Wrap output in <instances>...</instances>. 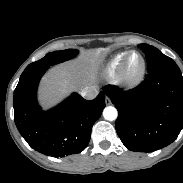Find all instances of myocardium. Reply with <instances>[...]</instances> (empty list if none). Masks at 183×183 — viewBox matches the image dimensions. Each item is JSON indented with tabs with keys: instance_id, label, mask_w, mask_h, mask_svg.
Returning a JSON list of instances; mask_svg holds the SVG:
<instances>
[{
	"instance_id": "obj_1",
	"label": "myocardium",
	"mask_w": 183,
	"mask_h": 183,
	"mask_svg": "<svg viewBox=\"0 0 183 183\" xmlns=\"http://www.w3.org/2000/svg\"><path fill=\"white\" fill-rule=\"evenodd\" d=\"M133 55L140 59V65L135 72H129V60ZM146 72V61L144 56L136 50L129 51L125 56L116 76L117 83L124 88H133L144 78Z\"/></svg>"
}]
</instances>
